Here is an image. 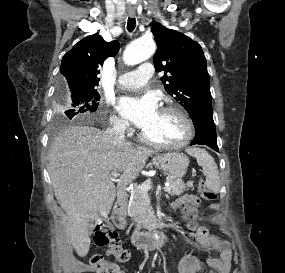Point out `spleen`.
Returning <instances> with one entry per match:
<instances>
[{"label": "spleen", "instance_id": "1", "mask_svg": "<svg viewBox=\"0 0 285 273\" xmlns=\"http://www.w3.org/2000/svg\"><path fill=\"white\" fill-rule=\"evenodd\" d=\"M187 152L195 157L198 165L203 168L206 175V186L214 192H218L220 189L219 170L214 158L201 148H190Z\"/></svg>", "mask_w": 285, "mask_h": 273}]
</instances>
